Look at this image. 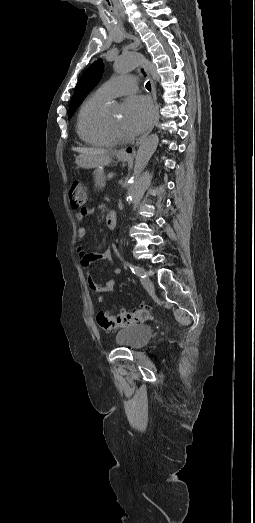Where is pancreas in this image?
I'll use <instances>...</instances> for the list:
<instances>
[{"instance_id": "obj_1", "label": "pancreas", "mask_w": 255, "mask_h": 523, "mask_svg": "<svg viewBox=\"0 0 255 523\" xmlns=\"http://www.w3.org/2000/svg\"><path fill=\"white\" fill-rule=\"evenodd\" d=\"M93 178L95 186H100V188H104L106 176L104 172H102V170H94Z\"/></svg>"}]
</instances>
